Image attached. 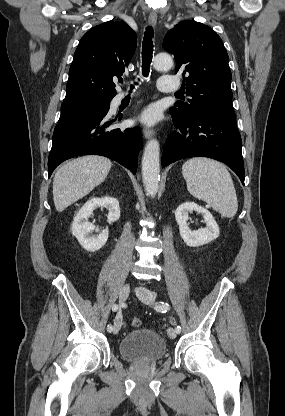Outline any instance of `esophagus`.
Returning a JSON list of instances; mask_svg holds the SVG:
<instances>
[{"label":"esophagus","mask_w":285,"mask_h":416,"mask_svg":"<svg viewBox=\"0 0 285 416\" xmlns=\"http://www.w3.org/2000/svg\"><path fill=\"white\" fill-rule=\"evenodd\" d=\"M148 23L151 27L155 26L157 23V13L156 12H151L149 17H148ZM154 130H152L151 128H144L143 130V135L145 138H151L154 136Z\"/></svg>","instance_id":"obj_1"}]
</instances>
